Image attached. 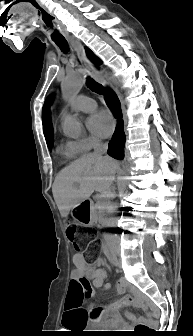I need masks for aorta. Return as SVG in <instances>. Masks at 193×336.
Masks as SVG:
<instances>
[{
	"mask_svg": "<svg viewBox=\"0 0 193 336\" xmlns=\"http://www.w3.org/2000/svg\"><path fill=\"white\" fill-rule=\"evenodd\" d=\"M85 78L82 71H74L62 82L61 91L64 100L70 101L77 96ZM62 129L65 135L71 138H79L82 134L81 122L70 114H64L62 119Z\"/></svg>",
	"mask_w": 193,
	"mask_h": 336,
	"instance_id": "aorta-1",
	"label": "aorta"
}]
</instances>
